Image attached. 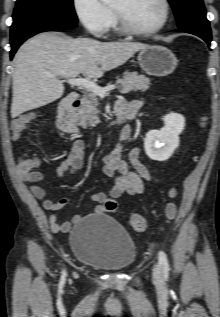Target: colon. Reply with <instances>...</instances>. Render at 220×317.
I'll return each instance as SVG.
<instances>
[{
	"label": "colon",
	"mask_w": 220,
	"mask_h": 317,
	"mask_svg": "<svg viewBox=\"0 0 220 317\" xmlns=\"http://www.w3.org/2000/svg\"><path fill=\"white\" fill-rule=\"evenodd\" d=\"M33 120L32 114H23L12 122V130L15 135H19L25 131L31 124ZM176 196V191L174 188H171L168 191L169 201L165 205V220L166 222H173L177 218V205L174 202ZM118 208L117 203L113 199H108L105 202V210L107 212H115ZM131 228L137 233H143L147 229V221L145 218L138 214H132L129 219Z\"/></svg>",
	"instance_id": "1"
}]
</instances>
